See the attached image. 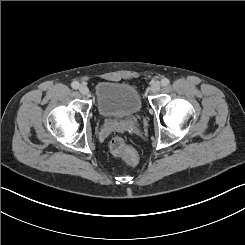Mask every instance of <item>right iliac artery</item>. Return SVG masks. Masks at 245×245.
Returning a JSON list of instances; mask_svg holds the SVG:
<instances>
[{"mask_svg":"<svg viewBox=\"0 0 245 245\" xmlns=\"http://www.w3.org/2000/svg\"><path fill=\"white\" fill-rule=\"evenodd\" d=\"M71 86H72L73 89H78L79 88V83L77 81H73L71 83Z\"/></svg>","mask_w":245,"mask_h":245,"instance_id":"right-iliac-artery-1","label":"right iliac artery"}]
</instances>
